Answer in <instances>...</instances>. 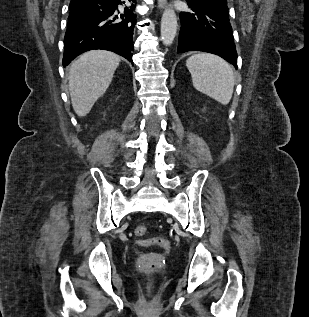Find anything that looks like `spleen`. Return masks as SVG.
<instances>
[{
	"mask_svg": "<svg viewBox=\"0 0 309 317\" xmlns=\"http://www.w3.org/2000/svg\"><path fill=\"white\" fill-rule=\"evenodd\" d=\"M186 66L195 89L223 105L230 102L235 78L226 61L216 55L198 53L187 59Z\"/></svg>",
	"mask_w": 309,
	"mask_h": 317,
	"instance_id": "3e777b00",
	"label": "spleen"
}]
</instances>
